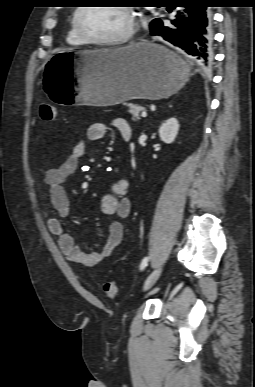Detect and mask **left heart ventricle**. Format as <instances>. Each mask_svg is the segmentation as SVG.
I'll use <instances>...</instances> for the list:
<instances>
[{"label": "left heart ventricle", "instance_id": "b2bd125f", "mask_svg": "<svg viewBox=\"0 0 255 387\" xmlns=\"http://www.w3.org/2000/svg\"><path fill=\"white\" fill-rule=\"evenodd\" d=\"M85 32L96 39H112L127 32L130 20L119 7H88L81 15Z\"/></svg>", "mask_w": 255, "mask_h": 387}]
</instances>
